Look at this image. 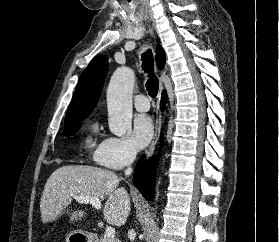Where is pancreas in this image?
Wrapping results in <instances>:
<instances>
[{
	"mask_svg": "<svg viewBox=\"0 0 279 242\" xmlns=\"http://www.w3.org/2000/svg\"><path fill=\"white\" fill-rule=\"evenodd\" d=\"M100 242H120L118 238H109L106 235L100 238Z\"/></svg>",
	"mask_w": 279,
	"mask_h": 242,
	"instance_id": "pancreas-1",
	"label": "pancreas"
}]
</instances>
